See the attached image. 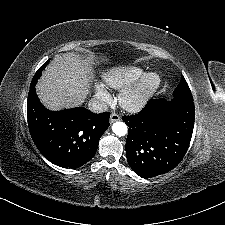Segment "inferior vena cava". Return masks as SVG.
<instances>
[{
    "label": "inferior vena cava",
    "mask_w": 225,
    "mask_h": 225,
    "mask_svg": "<svg viewBox=\"0 0 225 225\" xmlns=\"http://www.w3.org/2000/svg\"><path fill=\"white\" fill-rule=\"evenodd\" d=\"M88 108L94 113H102L108 111V105L98 99H91L88 103Z\"/></svg>",
    "instance_id": "obj_1"
}]
</instances>
